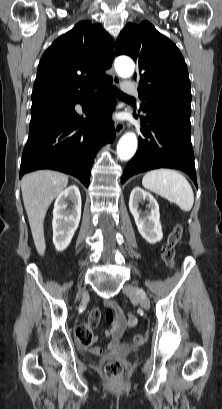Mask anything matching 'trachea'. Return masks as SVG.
Returning <instances> with one entry per match:
<instances>
[{
  "mask_svg": "<svg viewBox=\"0 0 222 409\" xmlns=\"http://www.w3.org/2000/svg\"><path fill=\"white\" fill-rule=\"evenodd\" d=\"M114 92H115V95H116L118 98H120V99H134L133 97L124 94L123 92H121V91H120L118 88H116V87H114Z\"/></svg>",
  "mask_w": 222,
  "mask_h": 409,
  "instance_id": "1",
  "label": "trachea"
}]
</instances>
